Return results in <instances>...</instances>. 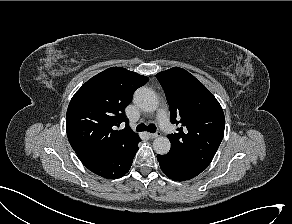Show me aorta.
Returning <instances> with one entry per match:
<instances>
[{"label":"aorta","mask_w":292,"mask_h":224,"mask_svg":"<svg viewBox=\"0 0 292 224\" xmlns=\"http://www.w3.org/2000/svg\"><path fill=\"white\" fill-rule=\"evenodd\" d=\"M135 104L145 112H154L159 105L157 95L149 88L141 87L134 94ZM170 141L167 137H157L153 141V148L157 154L165 155L170 150Z\"/></svg>","instance_id":"aorta-1"}]
</instances>
